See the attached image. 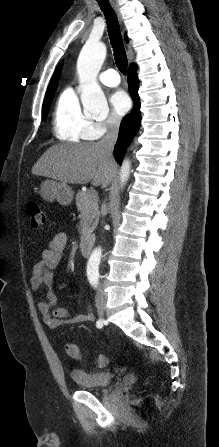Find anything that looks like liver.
<instances>
[{"mask_svg":"<svg viewBox=\"0 0 219 447\" xmlns=\"http://www.w3.org/2000/svg\"><path fill=\"white\" fill-rule=\"evenodd\" d=\"M116 163L99 142L58 144L50 147L34 164L33 175L51 177L63 183L106 187L115 176Z\"/></svg>","mask_w":219,"mask_h":447,"instance_id":"1","label":"liver"}]
</instances>
